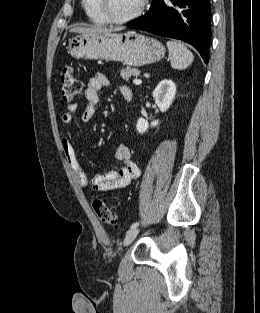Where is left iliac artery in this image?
I'll return each instance as SVG.
<instances>
[{
    "mask_svg": "<svg viewBox=\"0 0 260 313\" xmlns=\"http://www.w3.org/2000/svg\"><path fill=\"white\" fill-rule=\"evenodd\" d=\"M138 225H139V222H134V223L131 225L130 228H131V229H132V228H135V227H137Z\"/></svg>",
    "mask_w": 260,
    "mask_h": 313,
    "instance_id": "44dca946",
    "label": "left iliac artery"
}]
</instances>
